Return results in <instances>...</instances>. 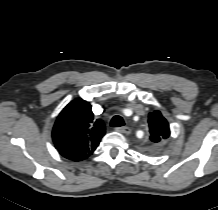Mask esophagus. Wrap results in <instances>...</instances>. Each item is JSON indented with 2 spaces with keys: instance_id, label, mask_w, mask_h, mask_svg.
I'll return each mask as SVG.
<instances>
[{
  "instance_id": "34e87169",
  "label": "esophagus",
  "mask_w": 218,
  "mask_h": 210,
  "mask_svg": "<svg viewBox=\"0 0 218 210\" xmlns=\"http://www.w3.org/2000/svg\"><path fill=\"white\" fill-rule=\"evenodd\" d=\"M118 132L123 133V134H129L130 133V128L127 126L119 127L116 129Z\"/></svg>"
}]
</instances>
